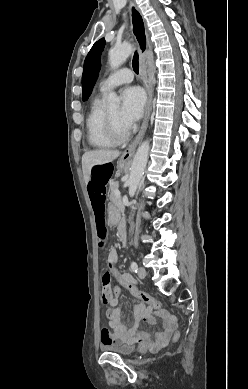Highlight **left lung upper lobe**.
<instances>
[{
    "label": "left lung upper lobe",
    "mask_w": 248,
    "mask_h": 389,
    "mask_svg": "<svg viewBox=\"0 0 248 389\" xmlns=\"http://www.w3.org/2000/svg\"><path fill=\"white\" fill-rule=\"evenodd\" d=\"M105 46V39L98 40L89 51L85 62L82 75V98L87 100L90 96L100 70V55Z\"/></svg>",
    "instance_id": "5c2ea615"
}]
</instances>
